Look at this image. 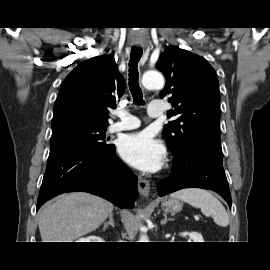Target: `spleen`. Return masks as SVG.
Masks as SVG:
<instances>
[{
	"mask_svg": "<svg viewBox=\"0 0 270 270\" xmlns=\"http://www.w3.org/2000/svg\"><path fill=\"white\" fill-rule=\"evenodd\" d=\"M170 198L186 202L200 208L205 216H212L214 222L222 227L229 224L228 214L223 205L209 192L199 188L182 189L170 194Z\"/></svg>",
	"mask_w": 270,
	"mask_h": 270,
	"instance_id": "1",
	"label": "spleen"
}]
</instances>
